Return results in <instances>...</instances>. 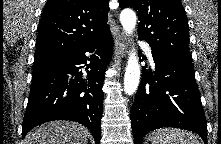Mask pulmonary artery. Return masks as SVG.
I'll return each mask as SVG.
<instances>
[{"label": "pulmonary artery", "instance_id": "obj_1", "mask_svg": "<svg viewBox=\"0 0 221 144\" xmlns=\"http://www.w3.org/2000/svg\"><path fill=\"white\" fill-rule=\"evenodd\" d=\"M140 46L143 48V50L145 51L146 55L148 56L149 60L151 62H153V57H152V50L151 47L148 43L146 42H139Z\"/></svg>", "mask_w": 221, "mask_h": 144}]
</instances>
